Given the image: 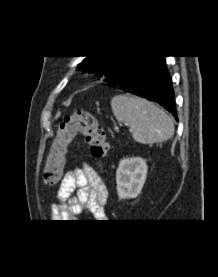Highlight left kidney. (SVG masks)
<instances>
[{
  "mask_svg": "<svg viewBox=\"0 0 218 277\" xmlns=\"http://www.w3.org/2000/svg\"><path fill=\"white\" fill-rule=\"evenodd\" d=\"M147 171L146 160L143 158L122 159L116 172L118 196L121 199L137 197L145 183Z\"/></svg>",
  "mask_w": 218,
  "mask_h": 277,
  "instance_id": "left-kidney-1",
  "label": "left kidney"
}]
</instances>
